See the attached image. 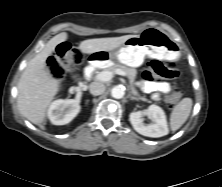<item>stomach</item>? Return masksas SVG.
<instances>
[{
    "mask_svg": "<svg viewBox=\"0 0 222 187\" xmlns=\"http://www.w3.org/2000/svg\"><path fill=\"white\" fill-rule=\"evenodd\" d=\"M178 43L165 31L147 28L140 35L133 36L112 51H98L90 54L92 65L107 62H119L131 67H139L145 57L178 60L180 58Z\"/></svg>",
    "mask_w": 222,
    "mask_h": 187,
    "instance_id": "1",
    "label": "stomach"
}]
</instances>
